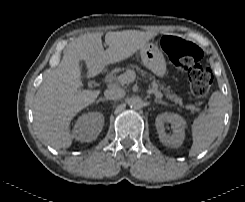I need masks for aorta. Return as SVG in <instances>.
Segmentation results:
<instances>
[{
    "mask_svg": "<svg viewBox=\"0 0 245 202\" xmlns=\"http://www.w3.org/2000/svg\"><path fill=\"white\" fill-rule=\"evenodd\" d=\"M128 105L131 109L139 110L143 107V100L138 96H134L128 100Z\"/></svg>",
    "mask_w": 245,
    "mask_h": 202,
    "instance_id": "obj_1",
    "label": "aorta"
}]
</instances>
